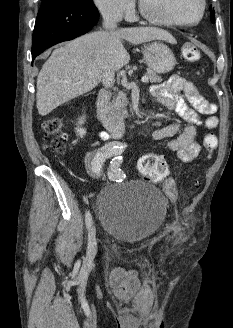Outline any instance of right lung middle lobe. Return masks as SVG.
I'll list each match as a JSON object with an SVG mask.
<instances>
[{
    "label": "right lung middle lobe",
    "mask_w": 233,
    "mask_h": 328,
    "mask_svg": "<svg viewBox=\"0 0 233 328\" xmlns=\"http://www.w3.org/2000/svg\"><path fill=\"white\" fill-rule=\"evenodd\" d=\"M53 1H60V2H68V3L81 4V5L95 6L93 4L92 0H53Z\"/></svg>",
    "instance_id": "right-lung-middle-lobe-1"
}]
</instances>
